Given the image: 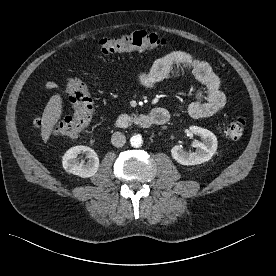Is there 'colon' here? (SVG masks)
Segmentation results:
<instances>
[{
  "instance_id": "colon-1",
  "label": "colon",
  "mask_w": 276,
  "mask_h": 276,
  "mask_svg": "<svg viewBox=\"0 0 276 276\" xmlns=\"http://www.w3.org/2000/svg\"><path fill=\"white\" fill-rule=\"evenodd\" d=\"M98 45L100 54H110L133 50L159 49L166 45V39L146 31H133L116 37L102 38ZM67 90L72 113L58 122L53 127V132L59 136L70 138L78 135L90 125L93 119L94 106L90 91L82 80L78 78L69 79ZM33 123L36 127H39L41 119L35 118ZM245 127L246 121L243 118H236L226 124L221 132L227 138L238 139L243 135Z\"/></svg>"
}]
</instances>
